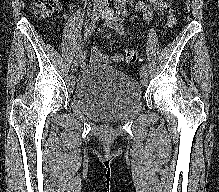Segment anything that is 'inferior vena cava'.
<instances>
[{"instance_id":"obj_1","label":"inferior vena cava","mask_w":219,"mask_h":192,"mask_svg":"<svg viewBox=\"0 0 219 192\" xmlns=\"http://www.w3.org/2000/svg\"><path fill=\"white\" fill-rule=\"evenodd\" d=\"M94 1L95 3L103 5V6L107 5V0H94Z\"/></svg>"}]
</instances>
